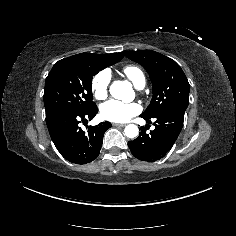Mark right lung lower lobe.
<instances>
[{
  "instance_id": "right-lung-lower-lobe-1",
  "label": "right lung lower lobe",
  "mask_w": 236,
  "mask_h": 236,
  "mask_svg": "<svg viewBox=\"0 0 236 236\" xmlns=\"http://www.w3.org/2000/svg\"><path fill=\"white\" fill-rule=\"evenodd\" d=\"M98 112L94 106L84 112L73 113L57 111L46 115L50 137L59 153L75 164H86L93 161L100 153L104 133L112 125L110 122L89 126L85 132L79 123L91 120Z\"/></svg>"
}]
</instances>
